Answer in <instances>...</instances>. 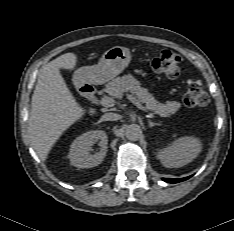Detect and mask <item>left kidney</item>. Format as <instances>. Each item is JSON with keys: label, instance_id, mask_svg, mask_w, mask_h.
<instances>
[{"label": "left kidney", "instance_id": "1", "mask_svg": "<svg viewBox=\"0 0 234 231\" xmlns=\"http://www.w3.org/2000/svg\"><path fill=\"white\" fill-rule=\"evenodd\" d=\"M201 150L202 144L199 139L186 136L175 140L165 148L158 149L157 158L167 168H178L191 162Z\"/></svg>", "mask_w": 234, "mask_h": 231}]
</instances>
